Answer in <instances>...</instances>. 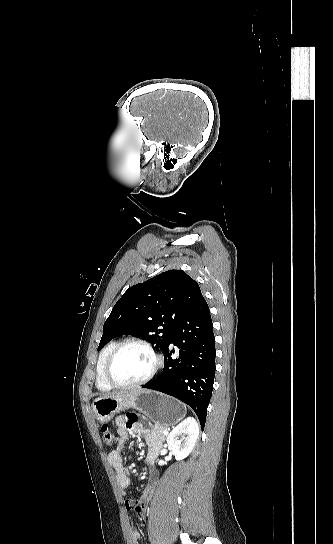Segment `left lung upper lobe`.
<instances>
[{
  "mask_svg": "<svg viewBox=\"0 0 333 544\" xmlns=\"http://www.w3.org/2000/svg\"><path fill=\"white\" fill-rule=\"evenodd\" d=\"M201 296L198 283L182 270H169L130 287L105 321L98 351L114 337L130 333L163 352L177 323Z\"/></svg>",
  "mask_w": 333,
  "mask_h": 544,
  "instance_id": "5c2ea615",
  "label": "left lung upper lobe"
}]
</instances>
